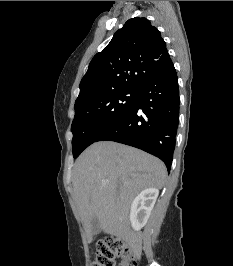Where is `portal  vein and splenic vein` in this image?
<instances>
[{
    "label": "portal vein and splenic vein",
    "mask_w": 233,
    "mask_h": 266,
    "mask_svg": "<svg viewBox=\"0 0 233 266\" xmlns=\"http://www.w3.org/2000/svg\"><path fill=\"white\" fill-rule=\"evenodd\" d=\"M108 181H103L104 184H106Z\"/></svg>",
    "instance_id": "obj_1"
}]
</instances>
